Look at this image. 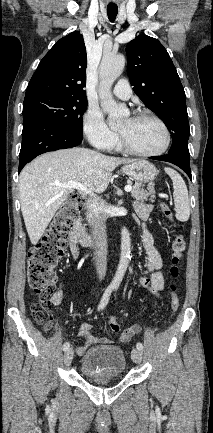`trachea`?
<instances>
[{
    "instance_id": "1",
    "label": "trachea",
    "mask_w": 213,
    "mask_h": 433,
    "mask_svg": "<svg viewBox=\"0 0 213 433\" xmlns=\"http://www.w3.org/2000/svg\"><path fill=\"white\" fill-rule=\"evenodd\" d=\"M118 14V7L117 6H108L107 7V15L111 22H113L116 19V16Z\"/></svg>"
}]
</instances>
